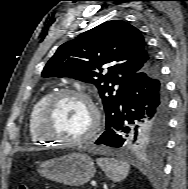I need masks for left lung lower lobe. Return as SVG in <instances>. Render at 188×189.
Masks as SVG:
<instances>
[{
	"label": "left lung lower lobe",
	"mask_w": 188,
	"mask_h": 189,
	"mask_svg": "<svg viewBox=\"0 0 188 189\" xmlns=\"http://www.w3.org/2000/svg\"><path fill=\"white\" fill-rule=\"evenodd\" d=\"M168 98L156 60L126 84L119 107L106 122V131L95 144L126 147L134 129L146 124L167 126Z\"/></svg>",
	"instance_id": "left-lung-lower-lobe-1"
}]
</instances>
